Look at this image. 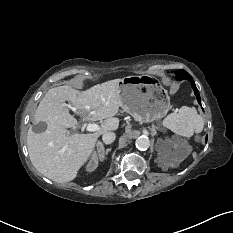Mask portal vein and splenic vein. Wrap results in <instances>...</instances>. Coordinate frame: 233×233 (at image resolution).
<instances>
[{"instance_id":"portal-vein-and-splenic-vein-1","label":"portal vein and splenic vein","mask_w":233,"mask_h":233,"mask_svg":"<svg viewBox=\"0 0 233 233\" xmlns=\"http://www.w3.org/2000/svg\"><path fill=\"white\" fill-rule=\"evenodd\" d=\"M73 111L77 114L80 115V112L76 111L73 109ZM84 129V128H83ZM86 131H89V132H95V131H98L99 130V125L97 124H92V123H89L86 128H85Z\"/></svg>"}]
</instances>
